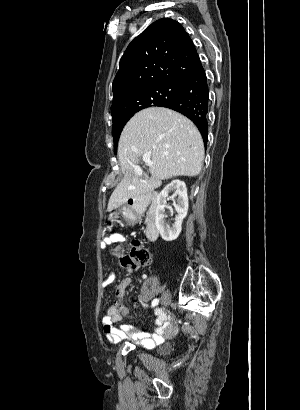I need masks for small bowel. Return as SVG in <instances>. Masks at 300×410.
Returning <instances> with one entry per match:
<instances>
[{
  "label": "small bowel",
  "instance_id": "obj_1",
  "mask_svg": "<svg viewBox=\"0 0 300 410\" xmlns=\"http://www.w3.org/2000/svg\"><path fill=\"white\" fill-rule=\"evenodd\" d=\"M120 240L118 236H112L111 241ZM115 279L114 271H109L104 279L105 285L110 284ZM131 279L124 278L115 290V299L113 304L108 307L105 316L102 318V328L107 335L110 343L116 344L122 340L129 339V336L134 333V329L130 325H121L115 327L123 316L128 313V306L124 301V296L127 287L130 285ZM177 331L176 326L172 322V316L165 310H157L156 328L153 334L141 333L140 342L145 347H153L156 343L161 342L166 338L172 337Z\"/></svg>",
  "mask_w": 300,
  "mask_h": 410
}]
</instances>
